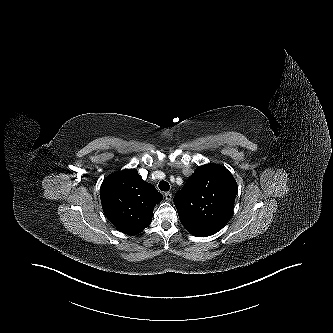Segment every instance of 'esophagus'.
Wrapping results in <instances>:
<instances>
[{
	"label": "esophagus",
	"mask_w": 333,
	"mask_h": 333,
	"mask_svg": "<svg viewBox=\"0 0 333 333\" xmlns=\"http://www.w3.org/2000/svg\"><path fill=\"white\" fill-rule=\"evenodd\" d=\"M165 198L167 201H170L172 199V193L171 192H166L165 193Z\"/></svg>",
	"instance_id": "esophagus-1"
}]
</instances>
